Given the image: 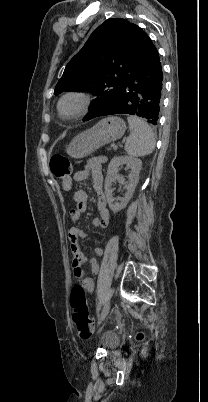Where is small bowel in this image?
Segmentation results:
<instances>
[{"mask_svg": "<svg viewBox=\"0 0 208 402\" xmlns=\"http://www.w3.org/2000/svg\"><path fill=\"white\" fill-rule=\"evenodd\" d=\"M103 158L94 157L89 159L85 166L77 170L74 174V180L76 182H85L88 178L92 179L93 188L98 194L97 208L99 211V217L93 219L92 225L96 228H108L110 224V212L106 205V200L103 195V174H102V163ZM74 201L76 202V208L70 213V218L72 221H78L81 214L87 209V199L88 194L86 190L79 189L74 193ZM86 237V233L79 227L73 226L69 229L68 239L72 244L73 251V268L74 275L80 278L87 290H93L94 282L93 280L86 276L84 269L82 267L83 263L86 261L83 253L76 248V245L80 239ZM102 249H96L97 255H102ZM91 271L93 273H98L99 263L96 259L90 261Z\"/></svg>", "mask_w": 208, "mask_h": 402, "instance_id": "small-bowel-1", "label": "small bowel"}]
</instances>
